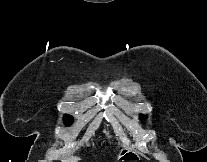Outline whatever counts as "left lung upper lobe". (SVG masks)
<instances>
[{
  "instance_id": "5c2ea615",
  "label": "left lung upper lobe",
  "mask_w": 207,
  "mask_h": 162,
  "mask_svg": "<svg viewBox=\"0 0 207 162\" xmlns=\"http://www.w3.org/2000/svg\"><path fill=\"white\" fill-rule=\"evenodd\" d=\"M144 118H147V117H145V116H141V117H140V119H144Z\"/></svg>"
}]
</instances>
